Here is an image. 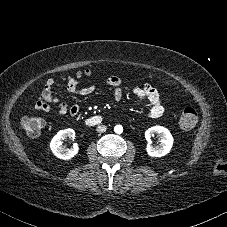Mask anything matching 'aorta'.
<instances>
[{"mask_svg":"<svg viewBox=\"0 0 227 227\" xmlns=\"http://www.w3.org/2000/svg\"><path fill=\"white\" fill-rule=\"evenodd\" d=\"M114 131H115V133H117V134H121V133L123 132V127H122L121 125H116V126L114 127Z\"/></svg>","mask_w":227,"mask_h":227,"instance_id":"762f6f07","label":"aorta"}]
</instances>
